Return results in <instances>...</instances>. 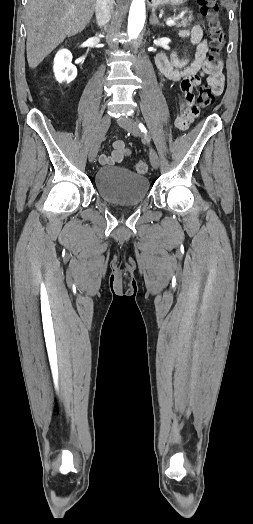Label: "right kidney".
I'll return each mask as SVG.
<instances>
[{
  "label": "right kidney",
  "mask_w": 253,
  "mask_h": 524,
  "mask_svg": "<svg viewBox=\"0 0 253 524\" xmlns=\"http://www.w3.org/2000/svg\"><path fill=\"white\" fill-rule=\"evenodd\" d=\"M72 54L67 49H61L55 56L54 59V73L56 80L59 83L67 82L70 83L77 76V69L71 63Z\"/></svg>",
  "instance_id": "1"
}]
</instances>
